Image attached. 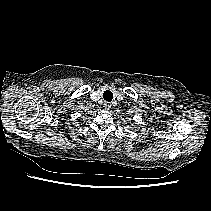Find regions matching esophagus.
<instances>
[{"label": "esophagus", "instance_id": "1", "mask_svg": "<svg viewBox=\"0 0 211 211\" xmlns=\"http://www.w3.org/2000/svg\"><path fill=\"white\" fill-rule=\"evenodd\" d=\"M104 108H105L106 110H109V109L111 108V104H110V103H105V104H104Z\"/></svg>", "mask_w": 211, "mask_h": 211}]
</instances>
